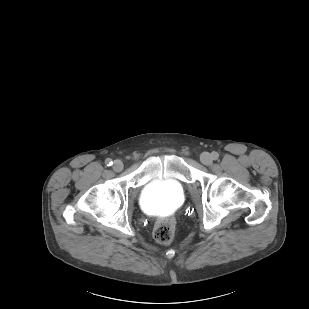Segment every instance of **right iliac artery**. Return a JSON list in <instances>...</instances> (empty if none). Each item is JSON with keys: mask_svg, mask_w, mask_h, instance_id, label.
Segmentation results:
<instances>
[{"mask_svg": "<svg viewBox=\"0 0 309 309\" xmlns=\"http://www.w3.org/2000/svg\"><path fill=\"white\" fill-rule=\"evenodd\" d=\"M105 163L107 166H111L113 164L111 159H106Z\"/></svg>", "mask_w": 309, "mask_h": 309, "instance_id": "82829eb1", "label": "right iliac artery"}]
</instances>
